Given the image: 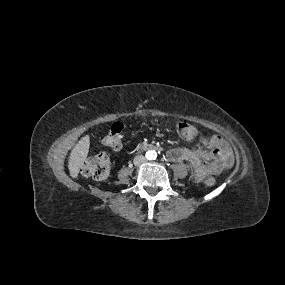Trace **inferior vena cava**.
<instances>
[{
  "label": "inferior vena cava",
  "instance_id": "inferior-vena-cava-1",
  "mask_svg": "<svg viewBox=\"0 0 285 285\" xmlns=\"http://www.w3.org/2000/svg\"><path fill=\"white\" fill-rule=\"evenodd\" d=\"M147 159L145 156L143 155H137L135 158H134V164L135 166H141L143 165L144 163H146Z\"/></svg>",
  "mask_w": 285,
  "mask_h": 285
}]
</instances>
